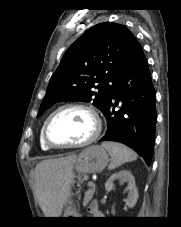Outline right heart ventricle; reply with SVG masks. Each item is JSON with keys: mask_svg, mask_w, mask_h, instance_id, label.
<instances>
[{"mask_svg": "<svg viewBox=\"0 0 181 227\" xmlns=\"http://www.w3.org/2000/svg\"><path fill=\"white\" fill-rule=\"evenodd\" d=\"M42 129H43V127H42ZM42 129H41V132H40V145H41L42 149L49 150L51 147L48 146L46 144V142L44 141L43 136H42Z\"/></svg>", "mask_w": 181, "mask_h": 227, "instance_id": "e07e8e85", "label": "right heart ventricle"}]
</instances>
